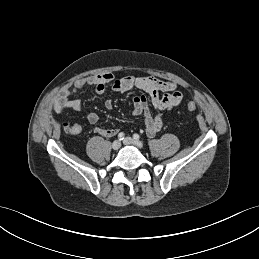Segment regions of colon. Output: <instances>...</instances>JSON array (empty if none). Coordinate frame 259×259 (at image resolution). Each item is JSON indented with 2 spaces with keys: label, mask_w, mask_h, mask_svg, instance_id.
I'll return each instance as SVG.
<instances>
[{
  "label": "colon",
  "mask_w": 259,
  "mask_h": 259,
  "mask_svg": "<svg viewBox=\"0 0 259 259\" xmlns=\"http://www.w3.org/2000/svg\"><path fill=\"white\" fill-rule=\"evenodd\" d=\"M186 108H187V110H188L189 112H193V111L196 110L197 106H196V103H195V102L190 101V102L187 104ZM64 131H65V133H67V134L75 133V128H74V126L71 127V126H69V125H65V126H64Z\"/></svg>",
  "instance_id": "1"
}]
</instances>
